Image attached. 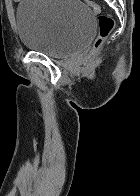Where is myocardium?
<instances>
[{
	"mask_svg": "<svg viewBox=\"0 0 140 196\" xmlns=\"http://www.w3.org/2000/svg\"><path fill=\"white\" fill-rule=\"evenodd\" d=\"M37 192H44V191H37ZM55 192H63V191H55Z\"/></svg>",
	"mask_w": 140,
	"mask_h": 196,
	"instance_id": "f54148a6",
	"label": "myocardium"
}]
</instances>
